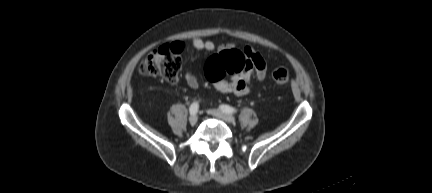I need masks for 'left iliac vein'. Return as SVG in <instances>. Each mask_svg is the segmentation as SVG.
Masks as SVG:
<instances>
[{
	"label": "left iliac vein",
	"mask_w": 432,
	"mask_h": 193,
	"mask_svg": "<svg viewBox=\"0 0 432 193\" xmlns=\"http://www.w3.org/2000/svg\"><path fill=\"white\" fill-rule=\"evenodd\" d=\"M209 113L211 115L219 118V119H222L223 121L231 122V123L235 122V117L233 115L225 113V112H223L221 110L213 109V110H210Z\"/></svg>",
	"instance_id": "1"
}]
</instances>
